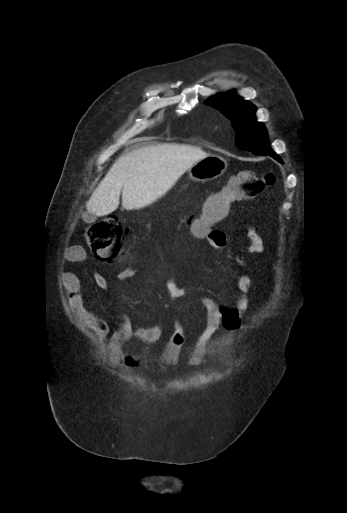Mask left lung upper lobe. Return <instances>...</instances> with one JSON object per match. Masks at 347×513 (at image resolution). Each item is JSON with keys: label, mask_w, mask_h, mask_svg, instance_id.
Wrapping results in <instances>:
<instances>
[{"label": "left lung upper lobe", "mask_w": 347, "mask_h": 513, "mask_svg": "<svg viewBox=\"0 0 347 513\" xmlns=\"http://www.w3.org/2000/svg\"><path fill=\"white\" fill-rule=\"evenodd\" d=\"M205 104L220 109L237 132L236 144L242 149L272 154L264 125L255 118V107L233 92L208 99Z\"/></svg>", "instance_id": "1"}]
</instances>
